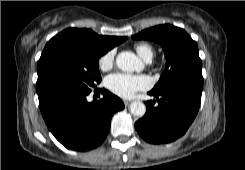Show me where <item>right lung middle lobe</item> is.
Listing matches in <instances>:
<instances>
[{
    "mask_svg": "<svg viewBox=\"0 0 245 170\" xmlns=\"http://www.w3.org/2000/svg\"><path fill=\"white\" fill-rule=\"evenodd\" d=\"M102 53L65 42H48L37 63L39 104L64 94L90 93L99 84Z\"/></svg>",
    "mask_w": 245,
    "mask_h": 170,
    "instance_id": "obj_1",
    "label": "right lung middle lobe"
}]
</instances>
